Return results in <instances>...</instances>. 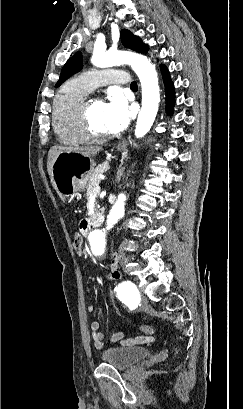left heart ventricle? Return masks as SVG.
<instances>
[{
    "mask_svg": "<svg viewBox=\"0 0 243 409\" xmlns=\"http://www.w3.org/2000/svg\"><path fill=\"white\" fill-rule=\"evenodd\" d=\"M105 103L98 99L91 100L89 104V120L93 131L98 134H106L104 125Z\"/></svg>",
    "mask_w": 243,
    "mask_h": 409,
    "instance_id": "1",
    "label": "left heart ventricle"
}]
</instances>
